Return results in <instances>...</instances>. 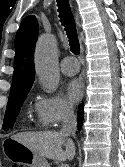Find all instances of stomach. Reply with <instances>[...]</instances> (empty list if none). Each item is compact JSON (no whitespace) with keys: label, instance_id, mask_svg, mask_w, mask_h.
<instances>
[{"label":"stomach","instance_id":"obj_1","mask_svg":"<svg viewBox=\"0 0 125 167\" xmlns=\"http://www.w3.org/2000/svg\"><path fill=\"white\" fill-rule=\"evenodd\" d=\"M3 151L6 157L15 165L23 163L29 167H49L44 156L12 138L4 142Z\"/></svg>","mask_w":125,"mask_h":167}]
</instances>
